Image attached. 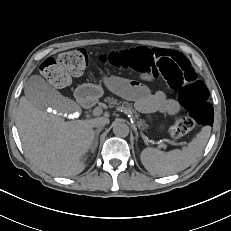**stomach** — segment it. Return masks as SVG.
Segmentation results:
<instances>
[{
  "label": "stomach",
  "instance_id": "obj_1",
  "mask_svg": "<svg viewBox=\"0 0 231 231\" xmlns=\"http://www.w3.org/2000/svg\"><path fill=\"white\" fill-rule=\"evenodd\" d=\"M103 95V89L95 84H83L76 89L75 96L81 102L92 101Z\"/></svg>",
  "mask_w": 231,
  "mask_h": 231
}]
</instances>
